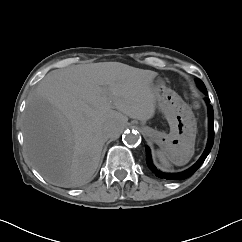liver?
Returning a JSON list of instances; mask_svg holds the SVG:
<instances>
[{
  "label": "liver",
  "mask_w": 242,
  "mask_h": 242,
  "mask_svg": "<svg viewBox=\"0 0 242 242\" xmlns=\"http://www.w3.org/2000/svg\"><path fill=\"white\" fill-rule=\"evenodd\" d=\"M157 72L120 62L79 64L48 73L29 95L23 116L25 149L49 183H88L110 138L106 127L155 114ZM163 81H160L161 85Z\"/></svg>",
  "instance_id": "obj_1"
}]
</instances>
